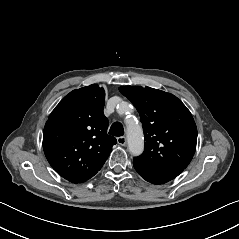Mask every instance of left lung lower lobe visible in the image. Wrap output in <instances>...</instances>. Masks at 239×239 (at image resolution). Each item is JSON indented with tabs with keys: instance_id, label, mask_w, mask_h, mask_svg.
Here are the masks:
<instances>
[{
	"instance_id": "obj_1",
	"label": "left lung lower lobe",
	"mask_w": 239,
	"mask_h": 239,
	"mask_svg": "<svg viewBox=\"0 0 239 239\" xmlns=\"http://www.w3.org/2000/svg\"><path fill=\"white\" fill-rule=\"evenodd\" d=\"M135 170L146 181L153 184H163L177 177L184 169H168L149 167L133 162Z\"/></svg>"
}]
</instances>
